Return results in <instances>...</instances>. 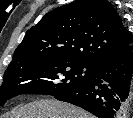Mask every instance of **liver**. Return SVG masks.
Instances as JSON below:
<instances>
[{
  "label": "liver",
  "instance_id": "obj_1",
  "mask_svg": "<svg viewBox=\"0 0 133 118\" xmlns=\"http://www.w3.org/2000/svg\"><path fill=\"white\" fill-rule=\"evenodd\" d=\"M10 118H94V116L69 103L41 99L15 107Z\"/></svg>",
  "mask_w": 133,
  "mask_h": 118
}]
</instances>
